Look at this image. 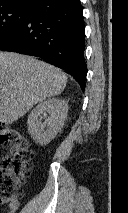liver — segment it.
Masks as SVG:
<instances>
[{"instance_id": "1", "label": "liver", "mask_w": 128, "mask_h": 213, "mask_svg": "<svg viewBox=\"0 0 128 213\" xmlns=\"http://www.w3.org/2000/svg\"><path fill=\"white\" fill-rule=\"evenodd\" d=\"M67 75L32 56L0 51V122L12 124L35 104L59 95Z\"/></svg>"}]
</instances>
